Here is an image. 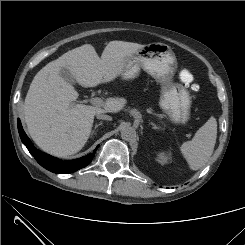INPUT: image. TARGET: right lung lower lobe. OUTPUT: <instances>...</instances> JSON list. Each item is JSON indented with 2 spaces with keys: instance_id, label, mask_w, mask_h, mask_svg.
I'll return each mask as SVG.
<instances>
[{
  "instance_id": "obj_1",
  "label": "right lung lower lobe",
  "mask_w": 245,
  "mask_h": 245,
  "mask_svg": "<svg viewBox=\"0 0 245 245\" xmlns=\"http://www.w3.org/2000/svg\"><path fill=\"white\" fill-rule=\"evenodd\" d=\"M18 130L23 144L27 147L37 162L47 170L57 174L71 173L86 167L92 161L96 152V150H94L92 154L76 160L62 161L58 158L50 156L49 154L43 153L40 150H37L25 134L20 119H18ZM98 147L99 146H97L96 149Z\"/></svg>"
}]
</instances>
